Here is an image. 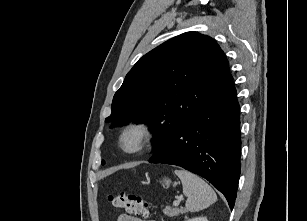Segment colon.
<instances>
[{"mask_svg": "<svg viewBox=\"0 0 307 221\" xmlns=\"http://www.w3.org/2000/svg\"><path fill=\"white\" fill-rule=\"evenodd\" d=\"M112 206L125 210L130 215H148V202L143 198L121 192L108 196Z\"/></svg>", "mask_w": 307, "mask_h": 221, "instance_id": "colon-1", "label": "colon"}]
</instances>
